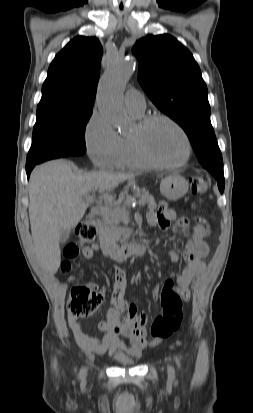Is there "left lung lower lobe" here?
I'll use <instances>...</instances> for the list:
<instances>
[{
	"mask_svg": "<svg viewBox=\"0 0 253 413\" xmlns=\"http://www.w3.org/2000/svg\"><path fill=\"white\" fill-rule=\"evenodd\" d=\"M208 171L215 177V179L218 182V188H219L220 192L223 193L224 183H225L223 171L222 172L214 171V170H208Z\"/></svg>",
	"mask_w": 253,
	"mask_h": 413,
	"instance_id": "1",
	"label": "left lung lower lobe"
}]
</instances>
